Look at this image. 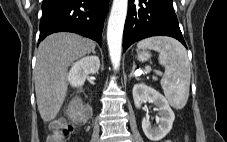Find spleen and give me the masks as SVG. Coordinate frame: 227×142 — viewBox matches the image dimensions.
<instances>
[{"mask_svg":"<svg viewBox=\"0 0 227 142\" xmlns=\"http://www.w3.org/2000/svg\"><path fill=\"white\" fill-rule=\"evenodd\" d=\"M137 47L159 52V63L165 68L160 82L164 94L171 106L183 108L188 100L191 78L185 47L175 39L162 36L144 39L137 43Z\"/></svg>","mask_w":227,"mask_h":142,"instance_id":"spleen-1","label":"spleen"}]
</instances>
